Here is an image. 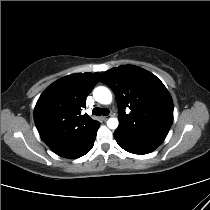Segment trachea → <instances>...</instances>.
I'll use <instances>...</instances> for the list:
<instances>
[{
  "instance_id": "3493384b",
  "label": "trachea",
  "mask_w": 210,
  "mask_h": 210,
  "mask_svg": "<svg viewBox=\"0 0 210 210\" xmlns=\"http://www.w3.org/2000/svg\"><path fill=\"white\" fill-rule=\"evenodd\" d=\"M92 114H94V115H103V116H106V115L109 114V110L106 109V108L95 107V108L92 110Z\"/></svg>"
}]
</instances>
